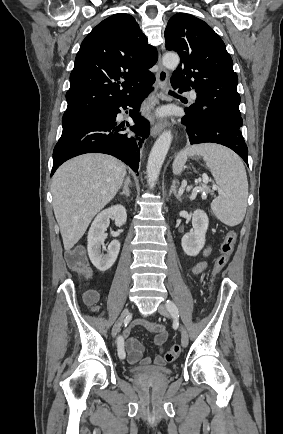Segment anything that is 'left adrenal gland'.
I'll list each match as a JSON object with an SVG mask.
<instances>
[{
	"label": "left adrenal gland",
	"instance_id": "a2214340",
	"mask_svg": "<svg viewBox=\"0 0 283 434\" xmlns=\"http://www.w3.org/2000/svg\"><path fill=\"white\" fill-rule=\"evenodd\" d=\"M176 188H177V187H176V181L173 180V182H172V186H171V188H170L169 196H171V194H174V196H175L179 201H181V194H180V193H177V189H176Z\"/></svg>",
	"mask_w": 283,
	"mask_h": 434
}]
</instances>
